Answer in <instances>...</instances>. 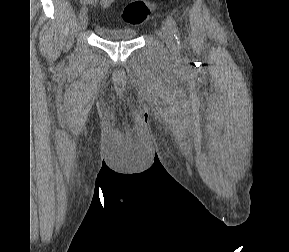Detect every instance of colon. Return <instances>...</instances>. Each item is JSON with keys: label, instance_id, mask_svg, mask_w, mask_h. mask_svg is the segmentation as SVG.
<instances>
[{"label": "colon", "instance_id": "1", "mask_svg": "<svg viewBox=\"0 0 289 252\" xmlns=\"http://www.w3.org/2000/svg\"><path fill=\"white\" fill-rule=\"evenodd\" d=\"M155 10V6L148 0H132L122 13L123 21L131 25H140L146 22Z\"/></svg>", "mask_w": 289, "mask_h": 252}]
</instances>
